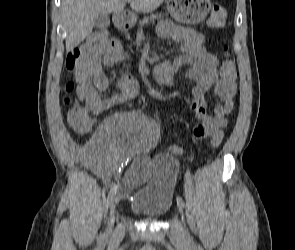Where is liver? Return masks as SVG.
I'll return each mask as SVG.
<instances>
[{"label":"liver","mask_w":295,"mask_h":250,"mask_svg":"<svg viewBox=\"0 0 295 250\" xmlns=\"http://www.w3.org/2000/svg\"><path fill=\"white\" fill-rule=\"evenodd\" d=\"M164 0H131V9L153 12ZM127 0H62L61 14L66 30V51L70 52L86 39L93 30L95 18L124 10Z\"/></svg>","instance_id":"liver-1"}]
</instances>
